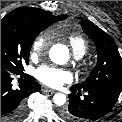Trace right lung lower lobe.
<instances>
[{
  "instance_id": "1",
  "label": "right lung lower lobe",
  "mask_w": 122,
  "mask_h": 122,
  "mask_svg": "<svg viewBox=\"0 0 122 122\" xmlns=\"http://www.w3.org/2000/svg\"><path fill=\"white\" fill-rule=\"evenodd\" d=\"M13 75L26 77L25 82L19 85V89L12 88ZM40 89L34 77L1 67V122H21L26 113V98Z\"/></svg>"
}]
</instances>
